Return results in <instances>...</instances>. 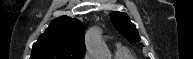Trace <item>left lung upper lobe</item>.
<instances>
[{
  "instance_id": "left-lung-upper-lobe-1",
  "label": "left lung upper lobe",
  "mask_w": 193,
  "mask_h": 59,
  "mask_svg": "<svg viewBox=\"0 0 193 59\" xmlns=\"http://www.w3.org/2000/svg\"><path fill=\"white\" fill-rule=\"evenodd\" d=\"M111 22L114 27L130 42L140 41V36L135 25L130 22V19L126 13L112 12L110 14Z\"/></svg>"
}]
</instances>
